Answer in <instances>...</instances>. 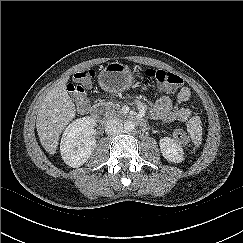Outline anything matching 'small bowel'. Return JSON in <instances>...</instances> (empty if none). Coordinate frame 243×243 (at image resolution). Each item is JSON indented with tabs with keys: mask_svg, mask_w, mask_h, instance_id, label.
Instances as JSON below:
<instances>
[{
	"mask_svg": "<svg viewBox=\"0 0 243 243\" xmlns=\"http://www.w3.org/2000/svg\"><path fill=\"white\" fill-rule=\"evenodd\" d=\"M190 95L189 88L182 87L177 93L176 105H173L172 99L167 95L159 97L153 108V116L165 122L187 121L191 116V110L186 106L180 105L187 102Z\"/></svg>",
	"mask_w": 243,
	"mask_h": 243,
	"instance_id": "1",
	"label": "small bowel"
}]
</instances>
